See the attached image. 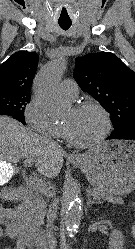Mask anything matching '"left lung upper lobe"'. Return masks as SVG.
Wrapping results in <instances>:
<instances>
[{
  "instance_id": "1",
  "label": "left lung upper lobe",
  "mask_w": 135,
  "mask_h": 249,
  "mask_svg": "<svg viewBox=\"0 0 135 249\" xmlns=\"http://www.w3.org/2000/svg\"><path fill=\"white\" fill-rule=\"evenodd\" d=\"M78 85L111 114L113 132H125L135 123V72L110 52L76 59Z\"/></svg>"
}]
</instances>
